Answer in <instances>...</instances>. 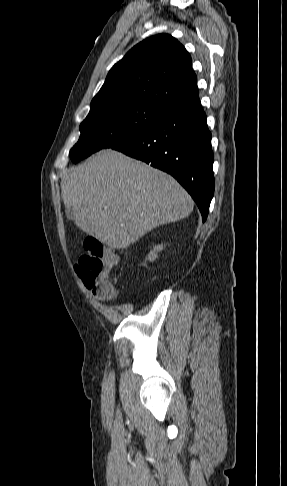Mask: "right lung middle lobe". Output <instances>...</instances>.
<instances>
[{
    "instance_id": "right-lung-middle-lobe-1",
    "label": "right lung middle lobe",
    "mask_w": 287,
    "mask_h": 486,
    "mask_svg": "<svg viewBox=\"0 0 287 486\" xmlns=\"http://www.w3.org/2000/svg\"><path fill=\"white\" fill-rule=\"evenodd\" d=\"M169 109L149 102H124L93 107L80 125L79 141L70 150L73 163L104 148L136 137Z\"/></svg>"
}]
</instances>
